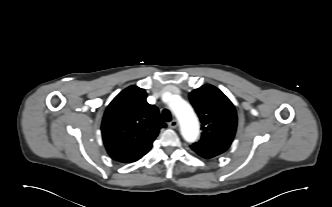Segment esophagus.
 Returning a JSON list of instances; mask_svg holds the SVG:
<instances>
[{
  "label": "esophagus",
  "instance_id": "1",
  "mask_svg": "<svg viewBox=\"0 0 332 207\" xmlns=\"http://www.w3.org/2000/svg\"><path fill=\"white\" fill-rule=\"evenodd\" d=\"M168 126L170 128H176L178 126V121L176 119L172 120L171 122H169Z\"/></svg>",
  "mask_w": 332,
  "mask_h": 207
}]
</instances>
